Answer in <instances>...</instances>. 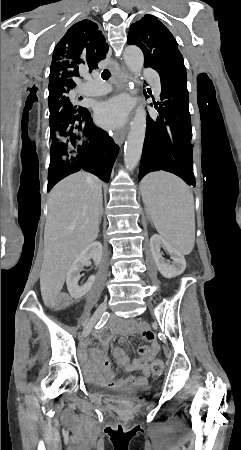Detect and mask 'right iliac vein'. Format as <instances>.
<instances>
[{"instance_id":"right-iliac-vein-1","label":"right iliac vein","mask_w":241,"mask_h":450,"mask_svg":"<svg viewBox=\"0 0 241 450\" xmlns=\"http://www.w3.org/2000/svg\"><path fill=\"white\" fill-rule=\"evenodd\" d=\"M106 308H107L106 303H102L99 305V307L96 309L92 318L86 324V326L83 330V333H82L83 337H87L89 335L94 324L99 320V318L102 316V314L106 311Z\"/></svg>"}]
</instances>
